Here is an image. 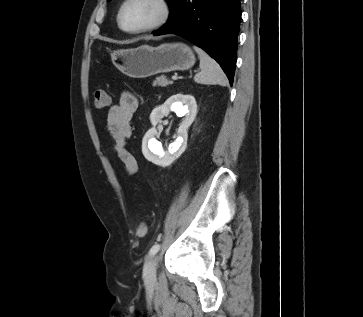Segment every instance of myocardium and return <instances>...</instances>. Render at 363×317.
I'll list each match as a JSON object with an SVG mask.
<instances>
[{
	"instance_id": "obj_1",
	"label": "myocardium",
	"mask_w": 363,
	"mask_h": 317,
	"mask_svg": "<svg viewBox=\"0 0 363 317\" xmlns=\"http://www.w3.org/2000/svg\"><path fill=\"white\" fill-rule=\"evenodd\" d=\"M131 1L132 0H124L121 3L118 13H117L118 26L122 31H124L126 33L143 34V33L157 30V29L163 27L168 22V20L171 16V6H170L168 0H154V2L159 6V9H160L159 16L153 22L149 23L148 25H145L143 27L136 28V29H127L122 24V16H123L124 9Z\"/></svg>"
}]
</instances>
